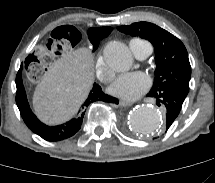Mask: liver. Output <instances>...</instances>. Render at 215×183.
Masks as SVG:
<instances>
[{"label":"liver","mask_w":215,"mask_h":183,"mask_svg":"<svg viewBox=\"0 0 215 183\" xmlns=\"http://www.w3.org/2000/svg\"><path fill=\"white\" fill-rule=\"evenodd\" d=\"M94 82L91 51L79 48L55 61L36 86L33 108L49 125L71 119L87 98Z\"/></svg>","instance_id":"obj_1"}]
</instances>
